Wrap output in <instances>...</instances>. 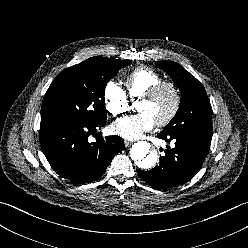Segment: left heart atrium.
Wrapping results in <instances>:
<instances>
[{
	"instance_id": "39dd6f15",
	"label": "left heart atrium",
	"mask_w": 248,
	"mask_h": 248,
	"mask_svg": "<svg viewBox=\"0 0 248 248\" xmlns=\"http://www.w3.org/2000/svg\"><path fill=\"white\" fill-rule=\"evenodd\" d=\"M154 124V120L148 113L140 112L117 120L112 124L111 131L123 138L135 140L150 131Z\"/></svg>"
}]
</instances>
